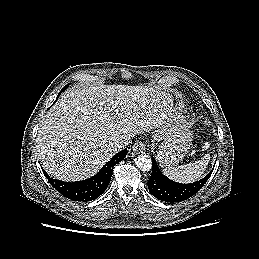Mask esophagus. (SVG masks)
<instances>
[{
  "label": "esophagus",
  "instance_id": "1",
  "mask_svg": "<svg viewBox=\"0 0 259 259\" xmlns=\"http://www.w3.org/2000/svg\"><path fill=\"white\" fill-rule=\"evenodd\" d=\"M132 152L134 154H139V153H143L145 152V145L143 142L139 141L137 143H135L132 147Z\"/></svg>",
  "mask_w": 259,
  "mask_h": 259
}]
</instances>
